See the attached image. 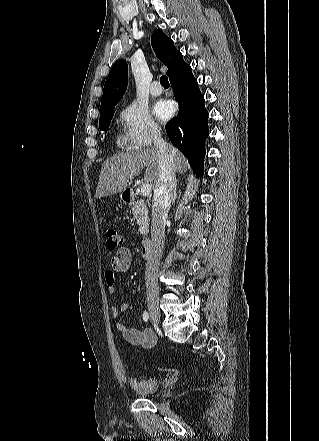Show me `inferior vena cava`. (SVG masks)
Segmentation results:
<instances>
[{
	"instance_id": "1",
	"label": "inferior vena cava",
	"mask_w": 319,
	"mask_h": 441,
	"mask_svg": "<svg viewBox=\"0 0 319 441\" xmlns=\"http://www.w3.org/2000/svg\"><path fill=\"white\" fill-rule=\"evenodd\" d=\"M153 141L158 153L159 179L154 190L151 212L152 248L145 270L147 297L159 295L157 276L165 240V219L175 188L173 148L163 140L160 132L154 134Z\"/></svg>"
}]
</instances>
